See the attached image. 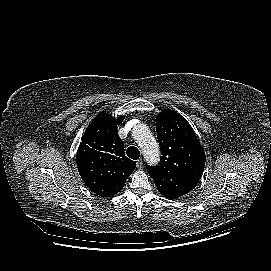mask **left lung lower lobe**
I'll return each instance as SVG.
<instances>
[{"label": "left lung lower lobe", "mask_w": 271, "mask_h": 271, "mask_svg": "<svg viewBox=\"0 0 271 271\" xmlns=\"http://www.w3.org/2000/svg\"><path fill=\"white\" fill-rule=\"evenodd\" d=\"M196 185H194L193 183L184 181L183 179L177 178L175 180V186L173 187L172 191L170 192V194H172L170 197L167 198H177L180 196H183L187 193H189L192 189H194Z\"/></svg>", "instance_id": "0a47b994"}]
</instances>
